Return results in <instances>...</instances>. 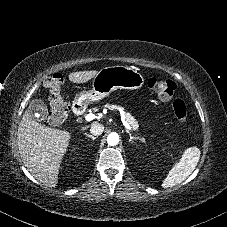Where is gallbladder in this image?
I'll return each instance as SVG.
<instances>
[{
    "label": "gallbladder",
    "mask_w": 227,
    "mask_h": 227,
    "mask_svg": "<svg viewBox=\"0 0 227 227\" xmlns=\"http://www.w3.org/2000/svg\"><path fill=\"white\" fill-rule=\"evenodd\" d=\"M28 111L35 120L42 121L47 118V107L41 100H32L29 103Z\"/></svg>",
    "instance_id": "1"
}]
</instances>
